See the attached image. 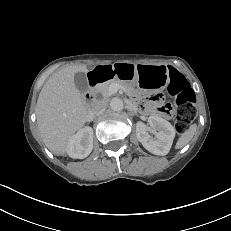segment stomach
<instances>
[{
  "mask_svg": "<svg viewBox=\"0 0 231 231\" xmlns=\"http://www.w3.org/2000/svg\"><path fill=\"white\" fill-rule=\"evenodd\" d=\"M114 69H120L126 79L148 92H160L169 83V69L165 65L120 63Z\"/></svg>",
  "mask_w": 231,
  "mask_h": 231,
  "instance_id": "stomach-1",
  "label": "stomach"
}]
</instances>
